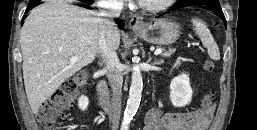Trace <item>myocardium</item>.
Segmentation results:
<instances>
[{
  "mask_svg": "<svg viewBox=\"0 0 257 130\" xmlns=\"http://www.w3.org/2000/svg\"><path fill=\"white\" fill-rule=\"evenodd\" d=\"M175 2V0H163L162 2L158 3V4H146L143 2H140V7L148 12H160L163 11L167 8H169L173 3Z\"/></svg>",
  "mask_w": 257,
  "mask_h": 130,
  "instance_id": "1",
  "label": "myocardium"
}]
</instances>
